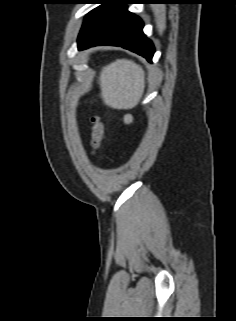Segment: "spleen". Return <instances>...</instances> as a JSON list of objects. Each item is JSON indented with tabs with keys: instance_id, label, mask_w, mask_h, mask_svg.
<instances>
[{
	"instance_id": "1",
	"label": "spleen",
	"mask_w": 236,
	"mask_h": 321,
	"mask_svg": "<svg viewBox=\"0 0 236 321\" xmlns=\"http://www.w3.org/2000/svg\"><path fill=\"white\" fill-rule=\"evenodd\" d=\"M99 84L106 105L116 109L136 106L144 91L142 68L126 59H119L103 67Z\"/></svg>"
}]
</instances>
